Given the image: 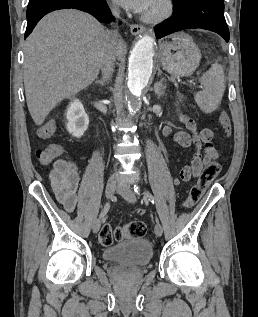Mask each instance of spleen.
Masks as SVG:
<instances>
[{
    "mask_svg": "<svg viewBox=\"0 0 258 317\" xmlns=\"http://www.w3.org/2000/svg\"><path fill=\"white\" fill-rule=\"evenodd\" d=\"M203 90L195 94V100L203 112H213L218 108L225 90L224 70L215 62L200 78Z\"/></svg>",
    "mask_w": 258,
    "mask_h": 317,
    "instance_id": "spleen-1",
    "label": "spleen"
}]
</instances>
